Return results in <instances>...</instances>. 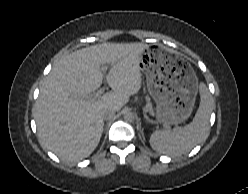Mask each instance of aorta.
Instances as JSON below:
<instances>
[{"label": "aorta", "instance_id": "1", "mask_svg": "<svg viewBox=\"0 0 248 194\" xmlns=\"http://www.w3.org/2000/svg\"><path fill=\"white\" fill-rule=\"evenodd\" d=\"M123 117H124V120L127 122H133L135 119V115L131 111L125 112Z\"/></svg>", "mask_w": 248, "mask_h": 194}]
</instances>
